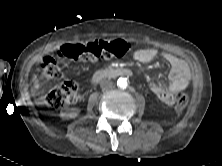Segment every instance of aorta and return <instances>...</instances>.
I'll return each instance as SVG.
<instances>
[{"label": "aorta", "mask_w": 222, "mask_h": 166, "mask_svg": "<svg viewBox=\"0 0 222 166\" xmlns=\"http://www.w3.org/2000/svg\"><path fill=\"white\" fill-rule=\"evenodd\" d=\"M117 85L121 88H126L128 86L127 79L123 77L119 78L117 80Z\"/></svg>", "instance_id": "1"}]
</instances>
